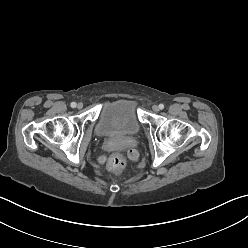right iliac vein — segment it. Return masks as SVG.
<instances>
[{
	"mask_svg": "<svg viewBox=\"0 0 248 248\" xmlns=\"http://www.w3.org/2000/svg\"><path fill=\"white\" fill-rule=\"evenodd\" d=\"M82 107H83V104H82V103H78V104H77V108H78V109H81Z\"/></svg>",
	"mask_w": 248,
	"mask_h": 248,
	"instance_id": "obj_1",
	"label": "right iliac vein"
}]
</instances>
